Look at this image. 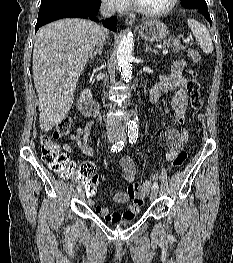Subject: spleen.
Listing matches in <instances>:
<instances>
[{
	"mask_svg": "<svg viewBox=\"0 0 233 263\" xmlns=\"http://www.w3.org/2000/svg\"><path fill=\"white\" fill-rule=\"evenodd\" d=\"M188 26L190 27L194 37L198 40L202 51L206 54L213 52V43L208 29L194 19L187 20Z\"/></svg>",
	"mask_w": 233,
	"mask_h": 263,
	"instance_id": "3e777b00",
	"label": "spleen"
}]
</instances>
